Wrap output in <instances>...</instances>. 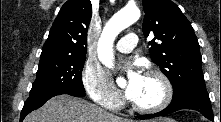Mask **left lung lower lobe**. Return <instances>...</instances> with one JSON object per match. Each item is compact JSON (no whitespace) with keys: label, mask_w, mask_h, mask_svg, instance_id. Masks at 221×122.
Returning a JSON list of instances; mask_svg holds the SVG:
<instances>
[{"label":"left lung lower lobe","mask_w":221,"mask_h":122,"mask_svg":"<svg viewBox=\"0 0 221 122\" xmlns=\"http://www.w3.org/2000/svg\"><path fill=\"white\" fill-rule=\"evenodd\" d=\"M192 109L200 112L206 118L214 121V115L211 108V102L207 90H189L184 94L173 98L171 104L164 110L150 115H142L138 118L141 120L150 119L158 116L167 115L169 113L181 110Z\"/></svg>","instance_id":"1"}]
</instances>
